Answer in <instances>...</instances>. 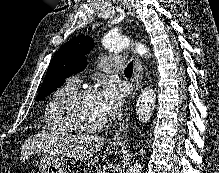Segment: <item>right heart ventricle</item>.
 Instances as JSON below:
<instances>
[{
    "mask_svg": "<svg viewBox=\"0 0 219 173\" xmlns=\"http://www.w3.org/2000/svg\"><path fill=\"white\" fill-rule=\"evenodd\" d=\"M76 90V84L69 80L51 94L43 115L45 129L47 131L61 135L76 133L65 120L63 112L66 100Z\"/></svg>",
    "mask_w": 219,
    "mask_h": 173,
    "instance_id": "e07e8e85",
    "label": "right heart ventricle"
}]
</instances>
